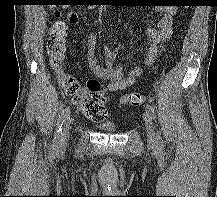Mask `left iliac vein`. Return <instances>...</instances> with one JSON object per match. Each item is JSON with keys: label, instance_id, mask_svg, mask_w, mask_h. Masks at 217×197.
Returning <instances> with one entry per match:
<instances>
[{"label": "left iliac vein", "instance_id": "1", "mask_svg": "<svg viewBox=\"0 0 217 197\" xmlns=\"http://www.w3.org/2000/svg\"><path fill=\"white\" fill-rule=\"evenodd\" d=\"M143 118L146 126L147 140L150 144H155L156 136H155L154 126H153L152 119L147 111L144 112Z\"/></svg>", "mask_w": 217, "mask_h": 197}]
</instances>
